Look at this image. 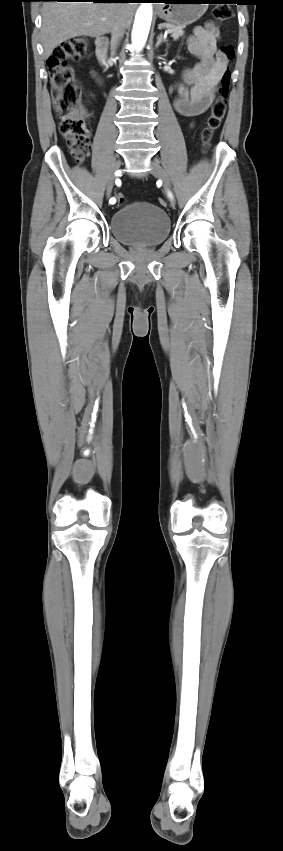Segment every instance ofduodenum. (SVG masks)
Returning a JSON list of instances; mask_svg holds the SVG:
<instances>
[{
  "instance_id": "410a0bca",
  "label": "duodenum",
  "mask_w": 283,
  "mask_h": 851,
  "mask_svg": "<svg viewBox=\"0 0 283 851\" xmlns=\"http://www.w3.org/2000/svg\"><path fill=\"white\" fill-rule=\"evenodd\" d=\"M107 51H108V41L104 37H99L96 40V55L103 67L107 66Z\"/></svg>"
}]
</instances>
